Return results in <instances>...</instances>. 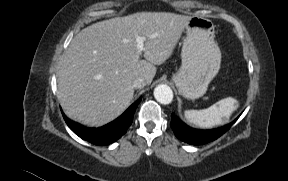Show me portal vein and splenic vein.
Instances as JSON below:
<instances>
[{
    "instance_id": "1",
    "label": "portal vein and splenic vein",
    "mask_w": 288,
    "mask_h": 181,
    "mask_svg": "<svg viewBox=\"0 0 288 181\" xmlns=\"http://www.w3.org/2000/svg\"><path fill=\"white\" fill-rule=\"evenodd\" d=\"M136 43H137V50L139 53H141L144 49V42L146 41V37L144 36H137L135 39Z\"/></svg>"
}]
</instances>
